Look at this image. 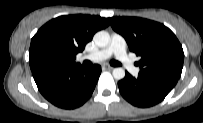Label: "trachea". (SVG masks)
Masks as SVG:
<instances>
[{"mask_svg":"<svg viewBox=\"0 0 203 123\" xmlns=\"http://www.w3.org/2000/svg\"><path fill=\"white\" fill-rule=\"evenodd\" d=\"M90 64H91V63H90ZM110 64H111L112 66H115V67L121 66V63L118 62V61H115V60L110 61Z\"/></svg>","mask_w":203,"mask_h":123,"instance_id":"3493384b","label":"trachea"}]
</instances>
